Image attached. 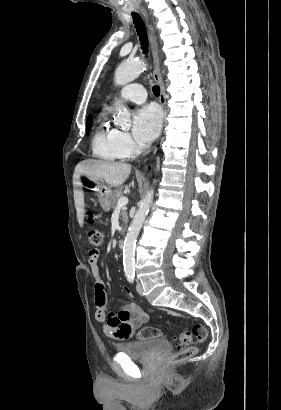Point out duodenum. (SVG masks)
I'll list each match as a JSON object with an SVG mask.
<instances>
[{
    "instance_id": "1",
    "label": "duodenum",
    "mask_w": 281,
    "mask_h": 410,
    "mask_svg": "<svg viewBox=\"0 0 281 410\" xmlns=\"http://www.w3.org/2000/svg\"><path fill=\"white\" fill-rule=\"evenodd\" d=\"M124 245H125L124 240H119L118 243H117V246H118L119 249H122L124 247Z\"/></svg>"
}]
</instances>
